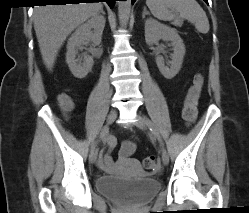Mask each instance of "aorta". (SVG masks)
<instances>
[{
  "mask_svg": "<svg viewBox=\"0 0 249 213\" xmlns=\"http://www.w3.org/2000/svg\"><path fill=\"white\" fill-rule=\"evenodd\" d=\"M118 15L122 26H126L131 13V0L118 1Z\"/></svg>",
  "mask_w": 249,
  "mask_h": 213,
  "instance_id": "obj_1",
  "label": "aorta"
}]
</instances>
